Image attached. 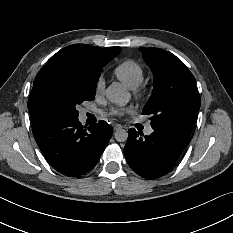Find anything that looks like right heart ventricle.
Masks as SVG:
<instances>
[{"label": "right heart ventricle", "instance_id": "right-heart-ventricle-1", "mask_svg": "<svg viewBox=\"0 0 233 233\" xmlns=\"http://www.w3.org/2000/svg\"><path fill=\"white\" fill-rule=\"evenodd\" d=\"M115 76L128 88L135 89L144 79L142 65L134 59H125L114 69Z\"/></svg>", "mask_w": 233, "mask_h": 233}]
</instances>
